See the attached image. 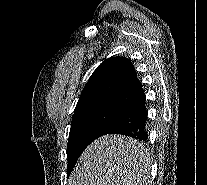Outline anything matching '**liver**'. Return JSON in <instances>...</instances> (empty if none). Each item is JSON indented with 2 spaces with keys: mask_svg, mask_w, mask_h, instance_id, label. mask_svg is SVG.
Listing matches in <instances>:
<instances>
[{
  "mask_svg": "<svg viewBox=\"0 0 207 185\" xmlns=\"http://www.w3.org/2000/svg\"><path fill=\"white\" fill-rule=\"evenodd\" d=\"M147 149L132 137L104 135L88 145L79 157L72 185H148Z\"/></svg>",
  "mask_w": 207,
  "mask_h": 185,
  "instance_id": "1",
  "label": "liver"
}]
</instances>
